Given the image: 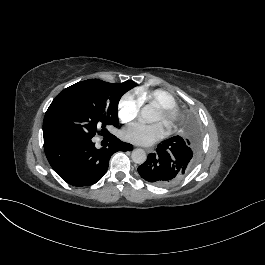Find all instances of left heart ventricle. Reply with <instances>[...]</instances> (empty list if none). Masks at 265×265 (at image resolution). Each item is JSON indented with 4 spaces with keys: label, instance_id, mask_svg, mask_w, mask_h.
<instances>
[{
    "label": "left heart ventricle",
    "instance_id": "obj_1",
    "mask_svg": "<svg viewBox=\"0 0 265 265\" xmlns=\"http://www.w3.org/2000/svg\"><path fill=\"white\" fill-rule=\"evenodd\" d=\"M156 122L157 121H162V115L159 113V111L157 110V114H156Z\"/></svg>",
    "mask_w": 265,
    "mask_h": 265
}]
</instances>
